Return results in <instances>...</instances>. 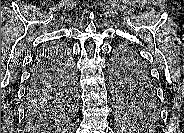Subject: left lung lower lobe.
I'll list each match as a JSON object with an SVG mask.
<instances>
[{
    "mask_svg": "<svg viewBox=\"0 0 184 133\" xmlns=\"http://www.w3.org/2000/svg\"><path fill=\"white\" fill-rule=\"evenodd\" d=\"M134 88L140 95H149L150 93L154 92L150 86L141 81L136 82Z\"/></svg>",
    "mask_w": 184,
    "mask_h": 133,
    "instance_id": "obj_1",
    "label": "left lung lower lobe"
}]
</instances>
